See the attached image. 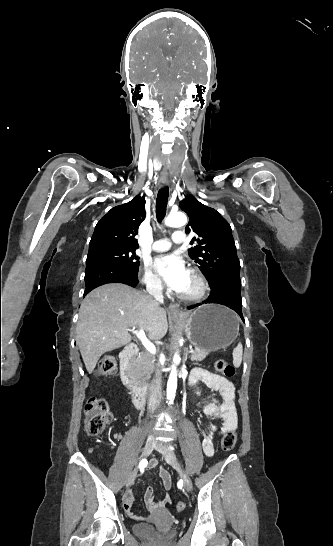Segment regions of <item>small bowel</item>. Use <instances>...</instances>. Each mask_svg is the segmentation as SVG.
Returning a JSON list of instances; mask_svg holds the SVG:
<instances>
[{"mask_svg":"<svg viewBox=\"0 0 333 546\" xmlns=\"http://www.w3.org/2000/svg\"><path fill=\"white\" fill-rule=\"evenodd\" d=\"M189 382L191 385L200 382L206 387L219 392L221 396V402H219L217 399H211L203 407V412L205 415L221 422L220 428L214 424L209 426L202 442L204 454L206 456H212L214 454L213 439L216 436L226 433L227 431L235 430L238 425V415L234 405V386L227 378L213 374L202 368H196L192 371ZM155 465L156 462H152L151 468L155 467ZM159 478L164 489L167 491L170 490V473L166 469H161L159 472ZM145 502L148 510L152 513H156L164 509L170 503V497L167 495L162 500L156 501L154 499L153 489L148 487L145 492ZM133 504L134 495L132 491H127L124 496L123 506L125 512L130 516H134L132 512Z\"/></svg>","mask_w":333,"mask_h":546,"instance_id":"c3829d8e","label":"small bowel"}]
</instances>
